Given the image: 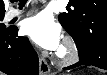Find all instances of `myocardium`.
Wrapping results in <instances>:
<instances>
[{"label":"myocardium","mask_w":107,"mask_h":75,"mask_svg":"<svg viewBox=\"0 0 107 75\" xmlns=\"http://www.w3.org/2000/svg\"><path fill=\"white\" fill-rule=\"evenodd\" d=\"M79 59V48L72 37H66L56 54V61L60 65H69Z\"/></svg>","instance_id":"myocardium-1"}]
</instances>
